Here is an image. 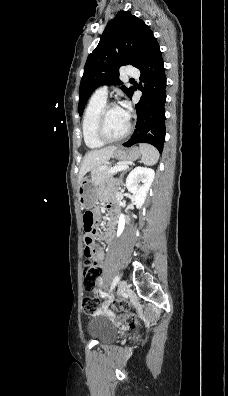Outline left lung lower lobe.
Segmentation results:
<instances>
[{
  "mask_svg": "<svg viewBox=\"0 0 228 396\" xmlns=\"http://www.w3.org/2000/svg\"><path fill=\"white\" fill-rule=\"evenodd\" d=\"M139 70L143 85L140 88L142 97L136 105V128L131 138L123 145L130 147L137 143H149L161 153L165 141L166 76L156 39ZM133 92L129 97H132Z\"/></svg>",
  "mask_w": 228,
  "mask_h": 396,
  "instance_id": "left-lung-lower-lobe-1",
  "label": "left lung lower lobe"
}]
</instances>
